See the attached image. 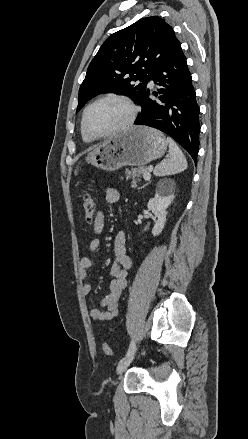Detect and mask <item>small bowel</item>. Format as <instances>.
Returning <instances> with one entry per match:
<instances>
[{"label":"small bowel","mask_w":248,"mask_h":439,"mask_svg":"<svg viewBox=\"0 0 248 439\" xmlns=\"http://www.w3.org/2000/svg\"><path fill=\"white\" fill-rule=\"evenodd\" d=\"M105 199L109 204H118L120 194L113 188H108L105 192ZM105 225V217L102 211H98L94 222L93 231L95 234H100ZM126 236L123 231H119L114 238V262L111 266V275L113 280L110 283V292L99 303L97 308L90 311V317L94 321H109L114 319L119 314L118 301L121 298L126 286L128 270L132 267V259L126 251ZM100 248V240L93 238L89 241L87 249L91 254L98 252ZM93 261L89 256H84L79 262V277L85 281L88 277V270L92 267ZM92 287L89 283L84 282L81 285V292L83 295L90 294Z\"/></svg>","instance_id":"c3829d8e"}]
</instances>
